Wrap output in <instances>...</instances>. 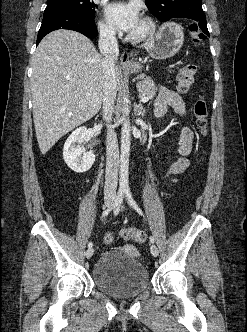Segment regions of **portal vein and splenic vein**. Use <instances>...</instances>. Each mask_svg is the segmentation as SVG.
Listing matches in <instances>:
<instances>
[{
    "label": "portal vein and splenic vein",
    "mask_w": 247,
    "mask_h": 332,
    "mask_svg": "<svg viewBox=\"0 0 247 332\" xmlns=\"http://www.w3.org/2000/svg\"><path fill=\"white\" fill-rule=\"evenodd\" d=\"M86 95L89 96L90 94H86ZM148 101H149V97H147V96H144L141 98V102H143V103H146Z\"/></svg>",
    "instance_id": "1"
}]
</instances>
